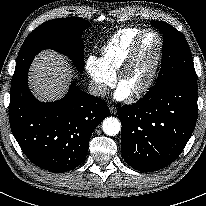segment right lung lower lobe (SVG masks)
Instances as JSON below:
<instances>
[{
    "label": "right lung lower lobe",
    "mask_w": 206,
    "mask_h": 206,
    "mask_svg": "<svg viewBox=\"0 0 206 206\" xmlns=\"http://www.w3.org/2000/svg\"><path fill=\"white\" fill-rule=\"evenodd\" d=\"M26 75L11 85V131L25 155L50 172L78 167L89 148L94 128L109 116L106 102L84 93L74 84L64 98L39 102L30 92Z\"/></svg>",
    "instance_id": "right-lung-lower-lobe-1"
}]
</instances>
